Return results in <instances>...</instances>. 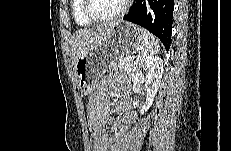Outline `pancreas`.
I'll return each mask as SVG.
<instances>
[{
  "label": "pancreas",
  "mask_w": 231,
  "mask_h": 151,
  "mask_svg": "<svg viewBox=\"0 0 231 151\" xmlns=\"http://www.w3.org/2000/svg\"><path fill=\"white\" fill-rule=\"evenodd\" d=\"M132 65V61H126L125 56H120L111 64L109 70L129 72V70L132 68Z\"/></svg>",
  "instance_id": "1"
}]
</instances>
